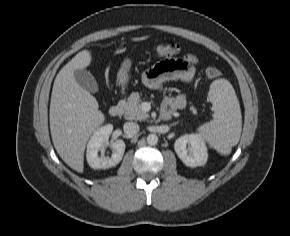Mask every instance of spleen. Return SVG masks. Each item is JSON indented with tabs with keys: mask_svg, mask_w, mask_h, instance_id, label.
<instances>
[{
	"mask_svg": "<svg viewBox=\"0 0 290 236\" xmlns=\"http://www.w3.org/2000/svg\"><path fill=\"white\" fill-rule=\"evenodd\" d=\"M209 99L214 106L212 121L198 128L200 136L222 155H229L232 146L240 139L242 116L239 101L231 83L217 79L209 89Z\"/></svg>",
	"mask_w": 290,
	"mask_h": 236,
	"instance_id": "spleen-1",
	"label": "spleen"
}]
</instances>
